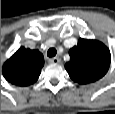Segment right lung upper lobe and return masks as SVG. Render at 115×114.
Returning <instances> with one entry per match:
<instances>
[{"label":"right lung upper lobe","instance_id":"1","mask_svg":"<svg viewBox=\"0 0 115 114\" xmlns=\"http://www.w3.org/2000/svg\"><path fill=\"white\" fill-rule=\"evenodd\" d=\"M44 57L39 50L20 47L3 65L2 72L7 81L14 85L28 86L37 81Z\"/></svg>","mask_w":115,"mask_h":114}]
</instances>
